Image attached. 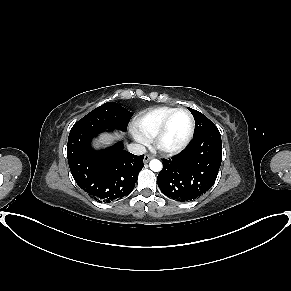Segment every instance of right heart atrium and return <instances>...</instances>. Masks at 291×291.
Masks as SVG:
<instances>
[{"instance_id":"right-heart-atrium-1","label":"right heart atrium","mask_w":291,"mask_h":291,"mask_svg":"<svg viewBox=\"0 0 291 291\" xmlns=\"http://www.w3.org/2000/svg\"><path fill=\"white\" fill-rule=\"evenodd\" d=\"M134 138L140 143H146L147 139L137 130L132 131Z\"/></svg>"}]
</instances>
